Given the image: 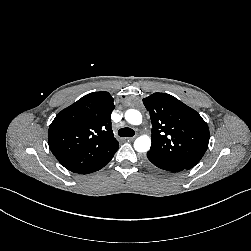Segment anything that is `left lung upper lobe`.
Wrapping results in <instances>:
<instances>
[{
	"label": "left lung upper lobe",
	"mask_w": 251,
	"mask_h": 251,
	"mask_svg": "<svg viewBox=\"0 0 251 251\" xmlns=\"http://www.w3.org/2000/svg\"><path fill=\"white\" fill-rule=\"evenodd\" d=\"M152 122V145L147 155L186 169L203 157L209 143V128L202 117L177 98L154 93L143 99Z\"/></svg>",
	"instance_id": "5c2ea615"
}]
</instances>
